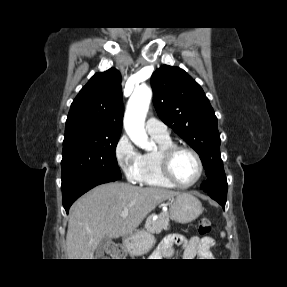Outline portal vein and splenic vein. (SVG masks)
<instances>
[{"label":"portal vein and splenic vein","mask_w":287,"mask_h":287,"mask_svg":"<svg viewBox=\"0 0 287 287\" xmlns=\"http://www.w3.org/2000/svg\"><path fill=\"white\" fill-rule=\"evenodd\" d=\"M128 213H129V210H128V209H125V210H123V211L121 212V216H122V217H126V216L128 215Z\"/></svg>","instance_id":"1"}]
</instances>
